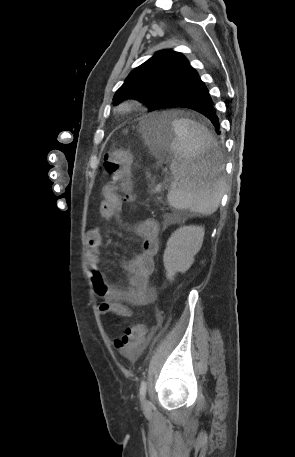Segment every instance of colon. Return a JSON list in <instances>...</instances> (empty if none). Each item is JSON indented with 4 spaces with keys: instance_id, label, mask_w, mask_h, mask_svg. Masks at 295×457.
Segmentation results:
<instances>
[{
    "instance_id": "5ec220e1",
    "label": "colon",
    "mask_w": 295,
    "mask_h": 457,
    "mask_svg": "<svg viewBox=\"0 0 295 457\" xmlns=\"http://www.w3.org/2000/svg\"><path fill=\"white\" fill-rule=\"evenodd\" d=\"M104 168L111 174L114 183H120L124 190V199L133 200L132 193V157L124 149L114 147L104 158ZM146 339L144 324L137 323L125 329L116 340L115 346L123 353L130 354L137 350Z\"/></svg>"
}]
</instances>
